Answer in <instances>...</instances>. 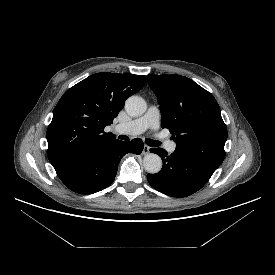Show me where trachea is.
<instances>
[{
    "mask_svg": "<svg viewBox=\"0 0 275 275\" xmlns=\"http://www.w3.org/2000/svg\"><path fill=\"white\" fill-rule=\"evenodd\" d=\"M118 138L121 140H125V141L129 140V137L126 135H119ZM145 142L147 143V145L152 146V147H158L161 144L159 141L152 140V139H146Z\"/></svg>",
    "mask_w": 275,
    "mask_h": 275,
    "instance_id": "obj_1",
    "label": "trachea"
}]
</instances>
